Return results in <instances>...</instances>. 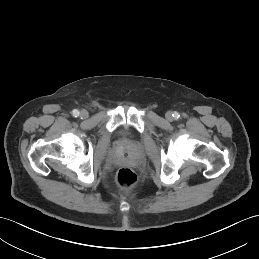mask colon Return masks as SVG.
<instances>
[{
    "mask_svg": "<svg viewBox=\"0 0 259 259\" xmlns=\"http://www.w3.org/2000/svg\"><path fill=\"white\" fill-rule=\"evenodd\" d=\"M117 182L123 188H130L136 182V175L129 168H122L117 174Z\"/></svg>",
    "mask_w": 259,
    "mask_h": 259,
    "instance_id": "colon-1",
    "label": "colon"
}]
</instances>
